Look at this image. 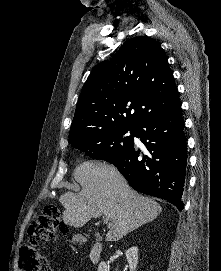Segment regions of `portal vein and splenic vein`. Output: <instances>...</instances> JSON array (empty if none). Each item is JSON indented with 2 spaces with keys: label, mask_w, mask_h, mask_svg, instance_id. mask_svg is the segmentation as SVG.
<instances>
[{
  "label": "portal vein and splenic vein",
  "mask_w": 221,
  "mask_h": 271,
  "mask_svg": "<svg viewBox=\"0 0 221 271\" xmlns=\"http://www.w3.org/2000/svg\"><path fill=\"white\" fill-rule=\"evenodd\" d=\"M103 221H104V223H107V225H111L110 217H108V215H105V217H103Z\"/></svg>",
  "instance_id": "obj_1"
}]
</instances>
